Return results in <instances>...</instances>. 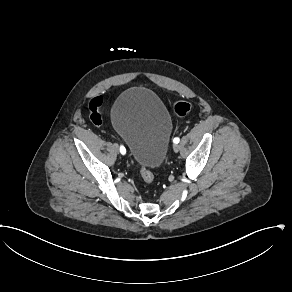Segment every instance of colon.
<instances>
[{
    "mask_svg": "<svg viewBox=\"0 0 292 292\" xmlns=\"http://www.w3.org/2000/svg\"><path fill=\"white\" fill-rule=\"evenodd\" d=\"M103 101H104V95L102 93H97L94 97V101H91L89 103V108L91 109L90 121L93 124L98 125L101 123L100 115L94 110H96L98 108V104H101ZM190 109H191V105L190 103L186 101H178L173 104V111L175 114L179 116L185 115ZM140 174L146 185L149 186L153 184L154 175L151 169L144 163L140 165Z\"/></svg>",
    "mask_w": 292,
    "mask_h": 292,
    "instance_id": "obj_1",
    "label": "colon"
}]
</instances>
